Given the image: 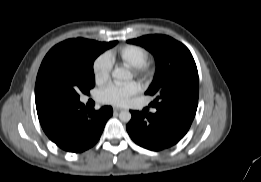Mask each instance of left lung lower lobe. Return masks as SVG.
Segmentation results:
<instances>
[{
    "instance_id": "1",
    "label": "left lung lower lobe",
    "mask_w": 261,
    "mask_h": 182,
    "mask_svg": "<svg viewBox=\"0 0 261 182\" xmlns=\"http://www.w3.org/2000/svg\"><path fill=\"white\" fill-rule=\"evenodd\" d=\"M126 129L132 140L149 150L159 151L179 142L189 130L196 111L191 108L157 109L155 114L131 111Z\"/></svg>"
}]
</instances>
